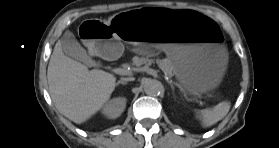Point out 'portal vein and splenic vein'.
Listing matches in <instances>:
<instances>
[{"instance_id": "18ae733b", "label": "portal vein and splenic vein", "mask_w": 279, "mask_h": 148, "mask_svg": "<svg viewBox=\"0 0 279 148\" xmlns=\"http://www.w3.org/2000/svg\"><path fill=\"white\" fill-rule=\"evenodd\" d=\"M162 69V68H161ZM113 72L116 73V74H119V75H127L130 73L129 70L127 69H124V68H114L113 69ZM166 74V73H165Z\"/></svg>"}]
</instances>
